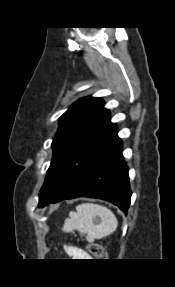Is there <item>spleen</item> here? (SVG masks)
I'll return each instance as SVG.
<instances>
[{
    "label": "spleen",
    "mask_w": 175,
    "mask_h": 287,
    "mask_svg": "<svg viewBox=\"0 0 175 287\" xmlns=\"http://www.w3.org/2000/svg\"><path fill=\"white\" fill-rule=\"evenodd\" d=\"M99 218V222H95ZM118 221L114 213L105 206L93 203H83L76 207L65 219L62 230L71 232L78 230L86 234L87 241L101 239L116 230Z\"/></svg>",
    "instance_id": "obj_1"
}]
</instances>
